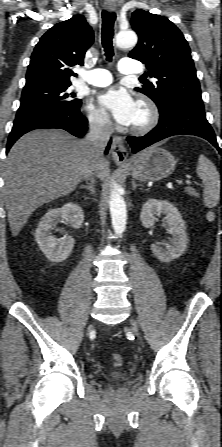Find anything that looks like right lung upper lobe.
Listing matches in <instances>:
<instances>
[{
    "mask_svg": "<svg viewBox=\"0 0 222 447\" xmlns=\"http://www.w3.org/2000/svg\"><path fill=\"white\" fill-rule=\"evenodd\" d=\"M92 28L82 15L57 23L36 45L26 74L24 90L71 84V67L83 64L93 43Z\"/></svg>",
    "mask_w": 222,
    "mask_h": 447,
    "instance_id": "cb5924a9",
    "label": "right lung upper lobe"
}]
</instances>
